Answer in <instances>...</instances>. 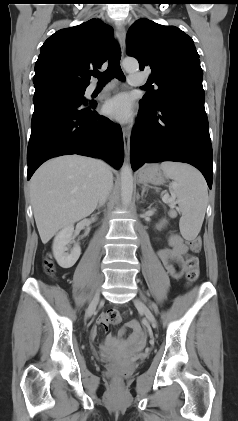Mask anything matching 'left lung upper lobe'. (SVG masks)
<instances>
[{
  "label": "left lung upper lobe",
  "mask_w": 238,
  "mask_h": 421,
  "mask_svg": "<svg viewBox=\"0 0 238 421\" xmlns=\"http://www.w3.org/2000/svg\"><path fill=\"white\" fill-rule=\"evenodd\" d=\"M127 54L135 57L140 70L148 67V83L157 90L147 92L140 105L155 109L165 96L190 87H201L203 71L194 41L175 26H163L149 19L135 21L127 32Z\"/></svg>",
  "instance_id": "left-lung-upper-lobe-1"
}]
</instances>
